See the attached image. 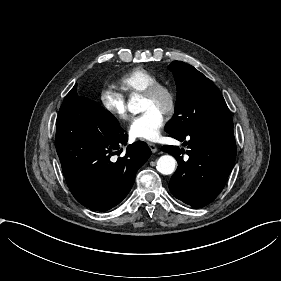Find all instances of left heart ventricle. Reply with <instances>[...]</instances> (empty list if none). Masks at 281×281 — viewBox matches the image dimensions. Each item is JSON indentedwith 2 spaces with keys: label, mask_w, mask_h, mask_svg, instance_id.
<instances>
[{
  "label": "left heart ventricle",
  "mask_w": 281,
  "mask_h": 281,
  "mask_svg": "<svg viewBox=\"0 0 281 281\" xmlns=\"http://www.w3.org/2000/svg\"><path fill=\"white\" fill-rule=\"evenodd\" d=\"M153 109L155 111L161 112V106L159 104H154L143 97L142 104H141V112H145L146 110Z\"/></svg>",
  "instance_id": "1"
}]
</instances>
